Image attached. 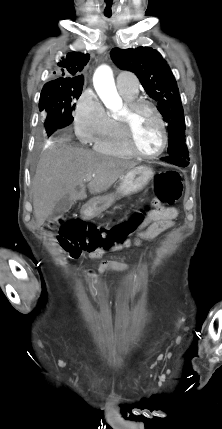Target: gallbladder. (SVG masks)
<instances>
[{"label": "gallbladder", "mask_w": 222, "mask_h": 429, "mask_svg": "<svg viewBox=\"0 0 222 429\" xmlns=\"http://www.w3.org/2000/svg\"><path fill=\"white\" fill-rule=\"evenodd\" d=\"M75 201L72 200L68 195L61 198L54 206L50 215L51 220H55L59 215H63L69 211L74 205Z\"/></svg>", "instance_id": "bac80fb5"}]
</instances>
